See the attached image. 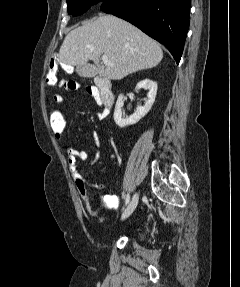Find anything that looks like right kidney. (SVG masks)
Instances as JSON below:
<instances>
[{"label":"right kidney","mask_w":240,"mask_h":287,"mask_svg":"<svg viewBox=\"0 0 240 287\" xmlns=\"http://www.w3.org/2000/svg\"><path fill=\"white\" fill-rule=\"evenodd\" d=\"M142 88L149 90L147 95L148 99L143 106L137 107L136 111L129 117H125L122 113V107L124 104L123 95L120 94L118 96L114 111V121L120 128L136 124L150 111L157 94V83L150 79H144L143 81H140L136 86V89L138 90Z\"/></svg>","instance_id":"right-kidney-1"}]
</instances>
